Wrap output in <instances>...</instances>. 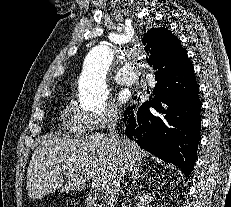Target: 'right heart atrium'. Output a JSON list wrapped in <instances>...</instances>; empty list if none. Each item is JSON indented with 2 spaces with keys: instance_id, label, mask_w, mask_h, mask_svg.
Here are the masks:
<instances>
[{
  "instance_id": "obj_1",
  "label": "right heart atrium",
  "mask_w": 231,
  "mask_h": 207,
  "mask_svg": "<svg viewBox=\"0 0 231 207\" xmlns=\"http://www.w3.org/2000/svg\"><path fill=\"white\" fill-rule=\"evenodd\" d=\"M84 124L89 131H99L113 127L118 120V111L113 106H108L100 113L83 114Z\"/></svg>"
}]
</instances>
